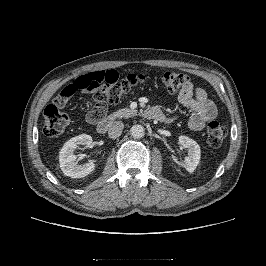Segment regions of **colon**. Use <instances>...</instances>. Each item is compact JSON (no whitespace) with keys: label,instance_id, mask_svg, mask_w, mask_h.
<instances>
[{"label":"colon","instance_id":"colon-1","mask_svg":"<svg viewBox=\"0 0 266 266\" xmlns=\"http://www.w3.org/2000/svg\"><path fill=\"white\" fill-rule=\"evenodd\" d=\"M151 79L148 74H128L120 76L114 70L98 71L84 74L75 78L70 84L66 85L61 92L54 98L44 112L43 131L46 136L56 137L61 135L68 125V117L60 111L65 106L69 98L78 91H90L99 89L104 100L111 104L121 102L127 94ZM161 81L168 93H175L189 83V77L181 72L165 71L161 75ZM103 114V113H102ZM226 129L216 121H212L207 129V141L212 147L222 145L226 137Z\"/></svg>","mask_w":266,"mask_h":266}]
</instances>
